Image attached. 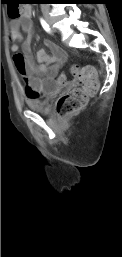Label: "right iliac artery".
Instances as JSON below:
<instances>
[{"mask_svg": "<svg viewBox=\"0 0 122 257\" xmlns=\"http://www.w3.org/2000/svg\"><path fill=\"white\" fill-rule=\"evenodd\" d=\"M40 21H41V25L44 28V30L47 31L48 33H50L51 29H50L49 25L46 23V21L43 20L42 18L40 19Z\"/></svg>", "mask_w": 122, "mask_h": 257, "instance_id": "right-iliac-artery-1", "label": "right iliac artery"}]
</instances>
